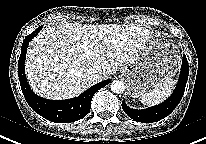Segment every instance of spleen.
Masks as SVG:
<instances>
[{"label":"spleen","mask_w":206,"mask_h":144,"mask_svg":"<svg viewBox=\"0 0 206 144\" xmlns=\"http://www.w3.org/2000/svg\"><path fill=\"white\" fill-rule=\"evenodd\" d=\"M175 80L169 79L159 88L154 89L153 91L147 92L140 97L141 103L147 106H155L164 100H166L172 93Z\"/></svg>","instance_id":"3e777b00"}]
</instances>
